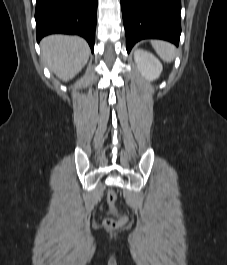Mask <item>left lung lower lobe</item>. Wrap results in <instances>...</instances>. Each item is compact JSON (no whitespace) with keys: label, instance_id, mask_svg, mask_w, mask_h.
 Returning <instances> with one entry per match:
<instances>
[{"label":"left lung lower lobe","instance_id":"left-lung-lower-lobe-1","mask_svg":"<svg viewBox=\"0 0 227 265\" xmlns=\"http://www.w3.org/2000/svg\"><path fill=\"white\" fill-rule=\"evenodd\" d=\"M126 48L146 38L178 45L181 34V0H121Z\"/></svg>","mask_w":227,"mask_h":265}]
</instances>
